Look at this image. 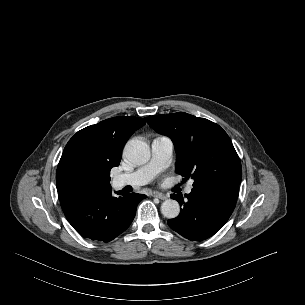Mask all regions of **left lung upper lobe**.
Segmentation results:
<instances>
[{
	"label": "left lung upper lobe",
	"mask_w": 305,
	"mask_h": 305,
	"mask_svg": "<svg viewBox=\"0 0 305 305\" xmlns=\"http://www.w3.org/2000/svg\"><path fill=\"white\" fill-rule=\"evenodd\" d=\"M148 124L171 138L177 154L175 170L185 178L191 176L193 188L241 183L238 154L229 136L216 123L178 112L149 116Z\"/></svg>",
	"instance_id": "left-lung-upper-lobe-1"
}]
</instances>
